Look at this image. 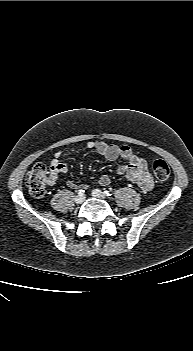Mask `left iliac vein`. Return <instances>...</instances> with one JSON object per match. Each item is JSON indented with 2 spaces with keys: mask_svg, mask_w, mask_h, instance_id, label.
<instances>
[{
  "mask_svg": "<svg viewBox=\"0 0 193 351\" xmlns=\"http://www.w3.org/2000/svg\"><path fill=\"white\" fill-rule=\"evenodd\" d=\"M92 196L99 199H106V195L99 189L92 190Z\"/></svg>",
  "mask_w": 193,
  "mask_h": 351,
  "instance_id": "obj_1",
  "label": "left iliac vein"
}]
</instances>
